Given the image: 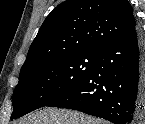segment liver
I'll return each instance as SVG.
<instances>
[{"mask_svg":"<svg viewBox=\"0 0 145 124\" xmlns=\"http://www.w3.org/2000/svg\"><path fill=\"white\" fill-rule=\"evenodd\" d=\"M20 124H101L82 113L63 109H44L28 116Z\"/></svg>","mask_w":145,"mask_h":124,"instance_id":"6515ba94","label":"liver"}]
</instances>
